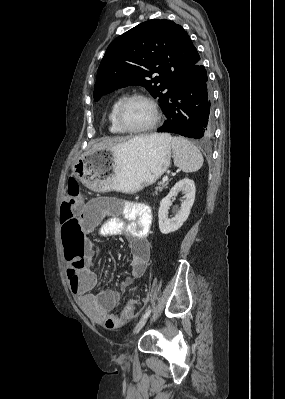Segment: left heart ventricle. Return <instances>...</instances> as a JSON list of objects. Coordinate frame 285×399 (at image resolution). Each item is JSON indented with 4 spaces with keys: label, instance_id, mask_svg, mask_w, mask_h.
Segmentation results:
<instances>
[{
    "label": "left heart ventricle",
    "instance_id": "obj_1",
    "mask_svg": "<svg viewBox=\"0 0 285 399\" xmlns=\"http://www.w3.org/2000/svg\"><path fill=\"white\" fill-rule=\"evenodd\" d=\"M154 118V110L144 100H133L123 111V121L127 127L140 128L149 124Z\"/></svg>",
    "mask_w": 285,
    "mask_h": 399
}]
</instances>
